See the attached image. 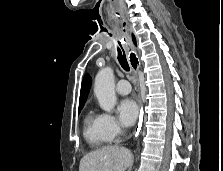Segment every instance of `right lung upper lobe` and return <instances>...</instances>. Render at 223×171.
<instances>
[{
    "label": "right lung upper lobe",
    "instance_id": "cb5924a9",
    "mask_svg": "<svg viewBox=\"0 0 223 171\" xmlns=\"http://www.w3.org/2000/svg\"><path fill=\"white\" fill-rule=\"evenodd\" d=\"M132 38H133V41L135 42V37L133 36ZM91 82H92V79H91L90 75L88 73L85 74L84 79L82 81V86H81L79 107L84 106V103L87 99V95L91 88Z\"/></svg>",
    "mask_w": 223,
    "mask_h": 171
}]
</instances>
